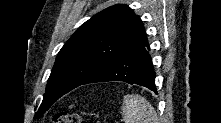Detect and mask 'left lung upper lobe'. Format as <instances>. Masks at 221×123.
Returning <instances> with one entry per match:
<instances>
[{
    "mask_svg": "<svg viewBox=\"0 0 221 123\" xmlns=\"http://www.w3.org/2000/svg\"><path fill=\"white\" fill-rule=\"evenodd\" d=\"M144 36L142 21L124 4L108 7L86 21L59 51L36 117Z\"/></svg>",
    "mask_w": 221,
    "mask_h": 123,
    "instance_id": "1",
    "label": "left lung upper lobe"
}]
</instances>
